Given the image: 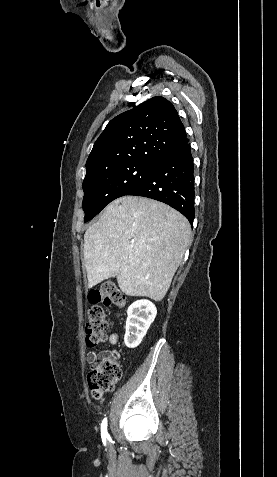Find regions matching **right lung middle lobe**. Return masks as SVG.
Masks as SVG:
<instances>
[{
	"instance_id": "dd1d6c3e",
	"label": "right lung middle lobe",
	"mask_w": 277,
	"mask_h": 477,
	"mask_svg": "<svg viewBox=\"0 0 277 477\" xmlns=\"http://www.w3.org/2000/svg\"><path fill=\"white\" fill-rule=\"evenodd\" d=\"M154 166L153 163L131 162L106 170L86 172L83 181L84 221L91 220L111 201L125 196L139 185Z\"/></svg>"
}]
</instances>
